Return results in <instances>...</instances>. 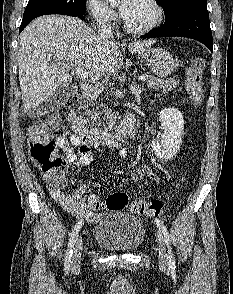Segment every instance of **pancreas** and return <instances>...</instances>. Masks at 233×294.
Instances as JSON below:
<instances>
[{"mask_svg": "<svg viewBox=\"0 0 233 294\" xmlns=\"http://www.w3.org/2000/svg\"><path fill=\"white\" fill-rule=\"evenodd\" d=\"M147 85L150 88L153 89H158L161 88L163 91H171L173 89H175L178 85H179V81L174 80V79H158V78H154L151 75H147ZM90 113H95V115H92V119L96 121L98 114L96 113V109H93L92 112H88V114ZM100 124V123H98Z\"/></svg>", "mask_w": 233, "mask_h": 294, "instance_id": "cf45deb5", "label": "pancreas"}]
</instances>
